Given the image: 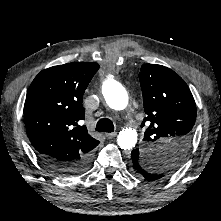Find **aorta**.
<instances>
[{"mask_svg":"<svg viewBox=\"0 0 221 221\" xmlns=\"http://www.w3.org/2000/svg\"><path fill=\"white\" fill-rule=\"evenodd\" d=\"M102 93L107 105L114 110H123L128 104L125 88L114 79L103 83ZM138 135L135 129L127 128L120 131L117 143L121 149L131 150L137 143Z\"/></svg>","mask_w":221,"mask_h":221,"instance_id":"762f6f07","label":"aorta"}]
</instances>
